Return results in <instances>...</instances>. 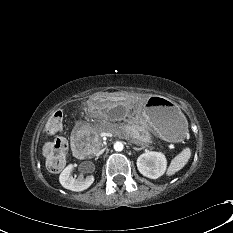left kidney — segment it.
<instances>
[{
    "instance_id": "obj_1",
    "label": "left kidney",
    "mask_w": 233,
    "mask_h": 233,
    "mask_svg": "<svg viewBox=\"0 0 233 233\" xmlns=\"http://www.w3.org/2000/svg\"><path fill=\"white\" fill-rule=\"evenodd\" d=\"M167 167V160L163 153L146 151L137 159L139 172L148 178L157 179L162 176Z\"/></svg>"
}]
</instances>
